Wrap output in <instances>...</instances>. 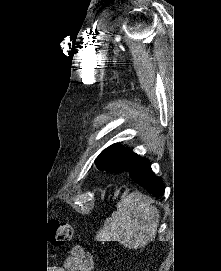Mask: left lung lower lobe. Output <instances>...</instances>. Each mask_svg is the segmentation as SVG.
<instances>
[{
	"label": "left lung lower lobe",
	"instance_id": "0a47b994",
	"mask_svg": "<svg viewBox=\"0 0 221 271\" xmlns=\"http://www.w3.org/2000/svg\"><path fill=\"white\" fill-rule=\"evenodd\" d=\"M127 171L133 180L141 184L153 194L159 196L164 193L162 180L153 174L150 168V163L147 159L141 158L135 154Z\"/></svg>",
	"mask_w": 221,
	"mask_h": 271
}]
</instances>
